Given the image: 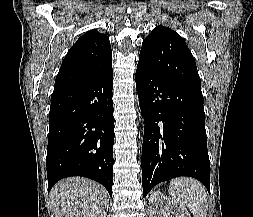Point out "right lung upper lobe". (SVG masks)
I'll list each match as a JSON object with an SVG mask.
<instances>
[{
	"label": "right lung upper lobe",
	"mask_w": 253,
	"mask_h": 217,
	"mask_svg": "<svg viewBox=\"0 0 253 217\" xmlns=\"http://www.w3.org/2000/svg\"><path fill=\"white\" fill-rule=\"evenodd\" d=\"M112 67L109 38L93 29L81 36L65 56L55 80V90L88 81Z\"/></svg>",
	"instance_id": "obj_1"
}]
</instances>
